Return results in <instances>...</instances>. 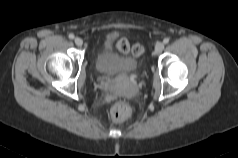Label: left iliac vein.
<instances>
[{
	"instance_id": "1",
	"label": "left iliac vein",
	"mask_w": 238,
	"mask_h": 158,
	"mask_svg": "<svg viewBox=\"0 0 238 158\" xmlns=\"http://www.w3.org/2000/svg\"><path fill=\"white\" fill-rule=\"evenodd\" d=\"M164 50V43L158 42L155 46V52L157 54L161 53Z\"/></svg>"
}]
</instances>
